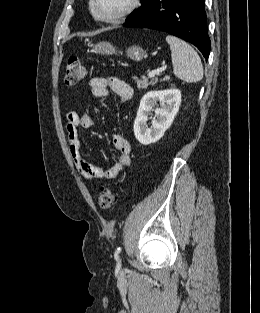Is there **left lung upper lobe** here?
Masks as SVG:
<instances>
[{"label":"left lung upper lobe","instance_id":"1","mask_svg":"<svg viewBox=\"0 0 260 313\" xmlns=\"http://www.w3.org/2000/svg\"><path fill=\"white\" fill-rule=\"evenodd\" d=\"M150 2V0H141V7L137 10V11H134L133 13H131L128 17H127V20L133 18L138 12H140L148 3Z\"/></svg>","mask_w":260,"mask_h":313}]
</instances>
